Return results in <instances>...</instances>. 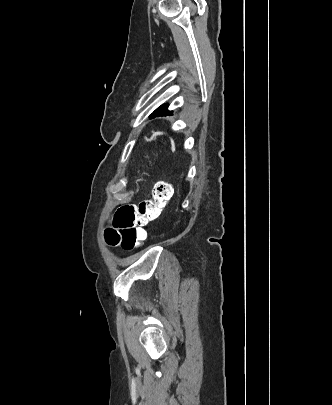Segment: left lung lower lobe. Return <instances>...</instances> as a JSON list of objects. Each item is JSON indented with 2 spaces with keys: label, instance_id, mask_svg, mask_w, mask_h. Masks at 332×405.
<instances>
[{
  "label": "left lung lower lobe",
  "instance_id": "1",
  "mask_svg": "<svg viewBox=\"0 0 332 405\" xmlns=\"http://www.w3.org/2000/svg\"><path fill=\"white\" fill-rule=\"evenodd\" d=\"M172 112L171 111H168L167 109H165V108H162V107H159L158 109H156L151 115H150V118H154L155 116H159V115H161V114H171Z\"/></svg>",
  "mask_w": 332,
  "mask_h": 405
}]
</instances>
